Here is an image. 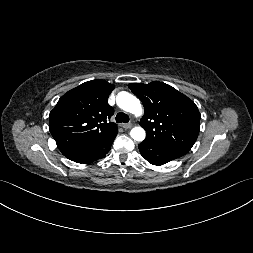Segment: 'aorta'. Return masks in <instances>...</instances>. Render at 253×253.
Returning a JSON list of instances; mask_svg holds the SVG:
<instances>
[{
    "mask_svg": "<svg viewBox=\"0 0 253 253\" xmlns=\"http://www.w3.org/2000/svg\"><path fill=\"white\" fill-rule=\"evenodd\" d=\"M116 102L121 109L135 116H140L142 114V106L139 99L128 92L122 91L118 93ZM130 135L135 141L141 142L145 139L146 133L142 127H134Z\"/></svg>",
    "mask_w": 253,
    "mask_h": 253,
    "instance_id": "aorta-1",
    "label": "aorta"
}]
</instances>
